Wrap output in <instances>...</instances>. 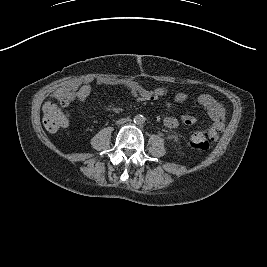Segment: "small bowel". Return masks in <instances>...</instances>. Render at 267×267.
<instances>
[{
    "mask_svg": "<svg viewBox=\"0 0 267 267\" xmlns=\"http://www.w3.org/2000/svg\"><path fill=\"white\" fill-rule=\"evenodd\" d=\"M131 94V96L143 102L155 101L167 94L165 87L159 86L153 89H148L137 83H125L123 84ZM91 93V85L89 83L73 84L69 86L65 91L56 94V99L67 106L72 101L83 103ZM189 98L186 92H177L174 95V101L182 103ZM197 103L202 106L208 113L211 123L205 128L204 131L208 133L212 140L215 141L219 138V135L224 127L225 123V108L224 105L216 100L209 94H201L197 97ZM181 122L185 125H195L198 119L190 114H183L180 118ZM164 124L168 128H177L180 125V121L173 116H167L164 118Z\"/></svg>",
    "mask_w": 267,
    "mask_h": 267,
    "instance_id": "1",
    "label": "small bowel"
}]
</instances>
